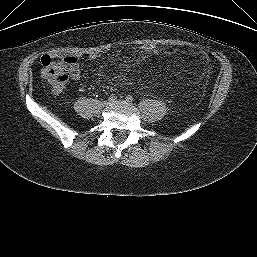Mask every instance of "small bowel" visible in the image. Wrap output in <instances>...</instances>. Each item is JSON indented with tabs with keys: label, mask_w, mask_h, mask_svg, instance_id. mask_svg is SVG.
Wrapping results in <instances>:
<instances>
[{
	"label": "small bowel",
	"mask_w": 257,
	"mask_h": 257,
	"mask_svg": "<svg viewBox=\"0 0 257 257\" xmlns=\"http://www.w3.org/2000/svg\"><path fill=\"white\" fill-rule=\"evenodd\" d=\"M91 59H95L97 55L95 53H91L89 55ZM80 57L79 55L72 54V55H65L60 56V60L57 62V64L65 70V72L69 75V77L77 81L81 77V69H80Z\"/></svg>",
	"instance_id": "small-bowel-1"
}]
</instances>
